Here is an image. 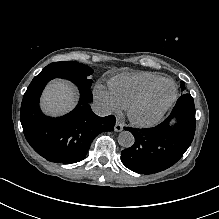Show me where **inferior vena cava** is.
<instances>
[{
    "mask_svg": "<svg viewBox=\"0 0 219 219\" xmlns=\"http://www.w3.org/2000/svg\"><path fill=\"white\" fill-rule=\"evenodd\" d=\"M91 108H92V111L100 117H105L111 114L110 108L108 107L106 103H103V102L94 101L91 104Z\"/></svg>",
    "mask_w": 219,
    "mask_h": 219,
    "instance_id": "obj_1",
    "label": "inferior vena cava"
}]
</instances>
